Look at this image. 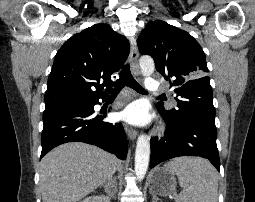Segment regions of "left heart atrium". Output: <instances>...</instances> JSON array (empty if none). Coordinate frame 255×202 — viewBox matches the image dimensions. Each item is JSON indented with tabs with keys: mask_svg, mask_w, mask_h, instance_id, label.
Masks as SVG:
<instances>
[{
	"mask_svg": "<svg viewBox=\"0 0 255 202\" xmlns=\"http://www.w3.org/2000/svg\"><path fill=\"white\" fill-rule=\"evenodd\" d=\"M122 117L135 125H144L150 121L147 106L141 101L128 105L122 112Z\"/></svg>",
	"mask_w": 255,
	"mask_h": 202,
	"instance_id": "39dd6f15",
	"label": "left heart atrium"
}]
</instances>
